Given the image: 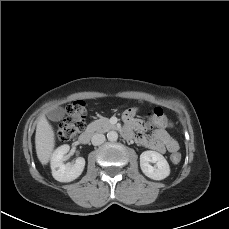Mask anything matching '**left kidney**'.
Here are the masks:
<instances>
[{
  "mask_svg": "<svg viewBox=\"0 0 229 229\" xmlns=\"http://www.w3.org/2000/svg\"><path fill=\"white\" fill-rule=\"evenodd\" d=\"M150 162L155 163V166H152ZM140 167L142 172L153 180L165 179L170 174L167 160L156 151H144L140 155Z\"/></svg>",
  "mask_w": 229,
  "mask_h": 229,
  "instance_id": "left-kidney-1",
  "label": "left kidney"
}]
</instances>
